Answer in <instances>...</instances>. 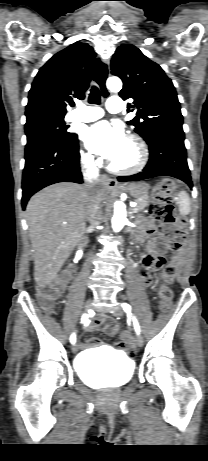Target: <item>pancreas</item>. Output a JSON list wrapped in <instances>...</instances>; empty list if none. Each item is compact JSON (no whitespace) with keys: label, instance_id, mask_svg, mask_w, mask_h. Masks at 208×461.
Segmentation results:
<instances>
[{"label":"pancreas","instance_id":"pancreas-1","mask_svg":"<svg viewBox=\"0 0 208 461\" xmlns=\"http://www.w3.org/2000/svg\"><path fill=\"white\" fill-rule=\"evenodd\" d=\"M136 203H137V206H136V208L134 209L135 212L144 210L145 207H147V205H148V196H145V197H142V198L137 199V200H136Z\"/></svg>","mask_w":208,"mask_h":461}]
</instances>
